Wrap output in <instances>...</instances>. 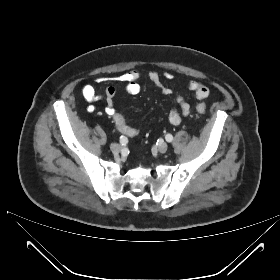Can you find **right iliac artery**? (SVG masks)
Masks as SVG:
<instances>
[{"mask_svg": "<svg viewBox=\"0 0 280 280\" xmlns=\"http://www.w3.org/2000/svg\"><path fill=\"white\" fill-rule=\"evenodd\" d=\"M126 143H127V138L125 136H120V144L126 145Z\"/></svg>", "mask_w": 280, "mask_h": 280, "instance_id": "obj_1", "label": "right iliac artery"}]
</instances>
